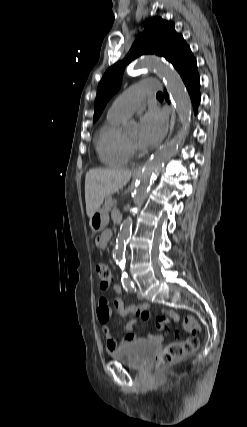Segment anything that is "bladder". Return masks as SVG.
Here are the masks:
<instances>
[{
    "mask_svg": "<svg viewBox=\"0 0 247 427\" xmlns=\"http://www.w3.org/2000/svg\"><path fill=\"white\" fill-rule=\"evenodd\" d=\"M156 345L146 340H135L112 352L111 357L135 369L148 365L156 353Z\"/></svg>",
    "mask_w": 247,
    "mask_h": 427,
    "instance_id": "bladder-1",
    "label": "bladder"
}]
</instances>
